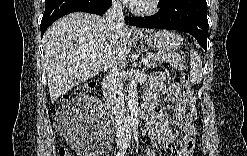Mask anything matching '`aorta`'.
Returning a JSON list of instances; mask_svg holds the SVG:
<instances>
[{"instance_id":"762f6f07","label":"aorta","mask_w":247,"mask_h":156,"mask_svg":"<svg viewBox=\"0 0 247 156\" xmlns=\"http://www.w3.org/2000/svg\"><path fill=\"white\" fill-rule=\"evenodd\" d=\"M127 117L128 123L132 126L138 124V112H139V102H138V89L135 74L132 75L129 85H128V97H127Z\"/></svg>"}]
</instances>
